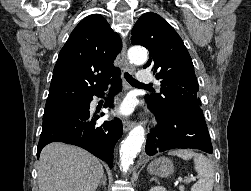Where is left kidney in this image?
I'll list each match as a JSON object with an SVG mask.
<instances>
[{
	"label": "left kidney",
	"instance_id": "left-kidney-1",
	"mask_svg": "<svg viewBox=\"0 0 251 191\" xmlns=\"http://www.w3.org/2000/svg\"><path fill=\"white\" fill-rule=\"evenodd\" d=\"M149 191H167L165 187H162V185H155V187H151Z\"/></svg>",
	"mask_w": 251,
	"mask_h": 191
}]
</instances>
